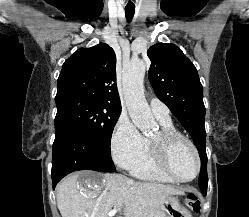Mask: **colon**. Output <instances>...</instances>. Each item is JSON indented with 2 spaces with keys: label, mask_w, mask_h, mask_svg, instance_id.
<instances>
[{
  "label": "colon",
  "mask_w": 249,
  "mask_h": 217,
  "mask_svg": "<svg viewBox=\"0 0 249 217\" xmlns=\"http://www.w3.org/2000/svg\"><path fill=\"white\" fill-rule=\"evenodd\" d=\"M186 206L193 212L197 213L200 211V199L198 195L194 192H190L187 194L185 199Z\"/></svg>",
  "instance_id": "1"
}]
</instances>
